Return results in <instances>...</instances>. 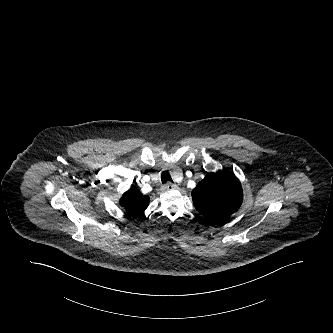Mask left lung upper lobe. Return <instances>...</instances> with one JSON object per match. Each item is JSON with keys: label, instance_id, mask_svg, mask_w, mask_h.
Listing matches in <instances>:
<instances>
[{"label": "left lung upper lobe", "instance_id": "left-lung-upper-lobe-1", "mask_svg": "<svg viewBox=\"0 0 333 333\" xmlns=\"http://www.w3.org/2000/svg\"><path fill=\"white\" fill-rule=\"evenodd\" d=\"M192 200L196 210L205 219L217 223L241 206V184L231 172L208 173L193 189Z\"/></svg>", "mask_w": 333, "mask_h": 333}]
</instances>
